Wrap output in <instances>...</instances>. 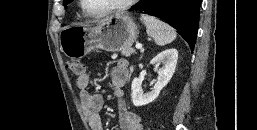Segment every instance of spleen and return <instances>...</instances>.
Segmentation results:
<instances>
[{"label":"spleen","instance_id":"1","mask_svg":"<svg viewBox=\"0 0 257 130\" xmlns=\"http://www.w3.org/2000/svg\"><path fill=\"white\" fill-rule=\"evenodd\" d=\"M140 20L146 25L147 34L157 45L164 46L175 40L176 31L165 22L147 14H141Z\"/></svg>","mask_w":257,"mask_h":130}]
</instances>
